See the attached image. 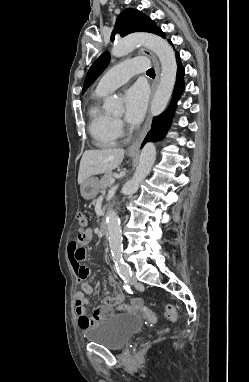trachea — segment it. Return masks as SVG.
<instances>
[{"label": "trachea", "instance_id": "obj_1", "mask_svg": "<svg viewBox=\"0 0 249 382\" xmlns=\"http://www.w3.org/2000/svg\"><path fill=\"white\" fill-rule=\"evenodd\" d=\"M146 74L147 75H155V71L153 68H150L149 70H147Z\"/></svg>", "mask_w": 249, "mask_h": 382}]
</instances>
